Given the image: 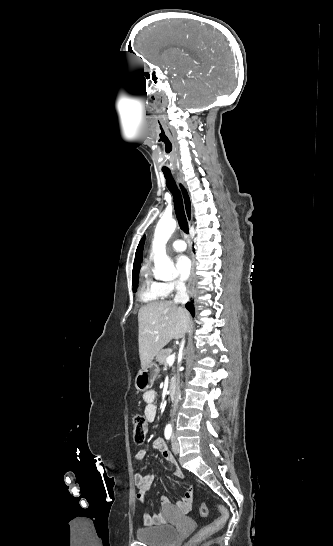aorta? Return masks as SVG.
<instances>
[{
  "label": "aorta",
  "mask_w": 333,
  "mask_h": 546,
  "mask_svg": "<svg viewBox=\"0 0 333 546\" xmlns=\"http://www.w3.org/2000/svg\"><path fill=\"white\" fill-rule=\"evenodd\" d=\"M176 228L174 219L162 218L155 229L152 250L154 254L155 275L162 280L175 277V267L166 254L165 245Z\"/></svg>",
  "instance_id": "1"
}]
</instances>
